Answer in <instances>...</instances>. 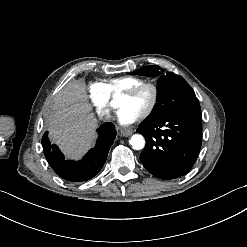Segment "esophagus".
I'll use <instances>...</instances> for the list:
<instances>
[{
    "mask_svg": "<svg viewBox=\"0 0 247 247\" xmlns=\"http://www.w3.org/2000/svg\"><path fill=\"white\" fill-rule=\"evenodd\" d=\"M120 133H121L122 136L128 137V136L133 134V130L129 129V128H121L120 129Z\"/></svg>",
    "mask_w": 247,
    "mask_h": 247,
    "instance_id": "34e87169",
    "label": "esophagus"
}]
</instances>
